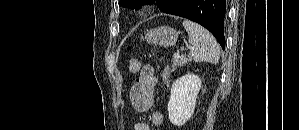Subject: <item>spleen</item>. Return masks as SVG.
I'll return each mask as SVG.
<instances>
[{"label": "spleen", "instance_id": "3e777b00", "mask_svg": "<svg viewBox=\"0 0 299 130\" xmlns=\"http://www.w3.org/2000/svg\"><path fill=\"white\" fill-rule=\"evenodd\" d=\"M183 26L188 33L191 44L190 60L217 64L220 58V46L210 32L190 20H184Z\"/></svg>", "mask_w": 299, "mask_h": 130}]
</instances>
